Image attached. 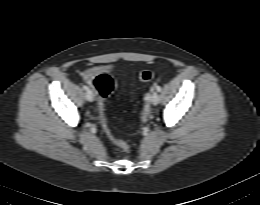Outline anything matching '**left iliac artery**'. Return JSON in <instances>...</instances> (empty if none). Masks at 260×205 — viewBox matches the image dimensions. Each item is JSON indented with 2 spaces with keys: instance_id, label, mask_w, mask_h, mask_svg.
<instances>
[{
  "instance_id": "44dca946",
  "label": "left iliac artery",
  "mask_w": 260,
  "mask_h": 205,
  "mask_svg": "<svg viewBox=\"0 0 260 205\" xmlns=\"http://www.w3.org/2000/svg\"><path fill=\"white\" fill-rule=\"evenodd\" d=\"M156 90H157V92H160L161 91V87L160 86H156Z\"/></svg>"
}]
</instances>
